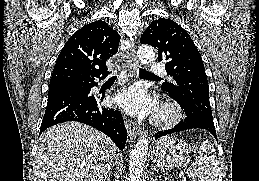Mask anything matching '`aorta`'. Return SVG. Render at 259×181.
Wrapping results in <instances>:
<instances>
[{
  "label": "aorta",
  "instance_id": "aorta-1",
  "mask_svg": "<svg viewBox=\"0 0 259 181\" xmlns=\"http://www.w3.org/2000/svg\"><path fill=\"white\" fill-rule=\"evenodd\" d=\"M142 63L148 64L155 59V53L150 46L142 45L137 52ZM149 137L145 134L141 136L130 153L129 177L130 181H141L143 167L146 161Z\"/></svg>",
  "mask_w": 259,
  "mask_h": 181
}]
</instances>
